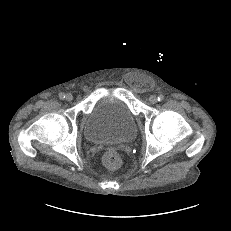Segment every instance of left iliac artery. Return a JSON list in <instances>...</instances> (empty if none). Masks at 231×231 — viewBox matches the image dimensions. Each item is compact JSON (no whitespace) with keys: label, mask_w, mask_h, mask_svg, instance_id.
Wrapping results in <instances>:
<instances>
[{"label":"left iliac artery","mask_w":231,"mask_h":231,"mask_svg":"<svg viewBox=\"0 0 231 231\" xmlns=\"http://www.w3.org/2000/svg\"><path fill=\"white\" fill-rule=\"evenodd\" d=\"M157 99H158V101H160V102H161V101H163V100H164V96H163V95H159Z\"/></svg>","instance_id":"obj_1"}]
</instances>
